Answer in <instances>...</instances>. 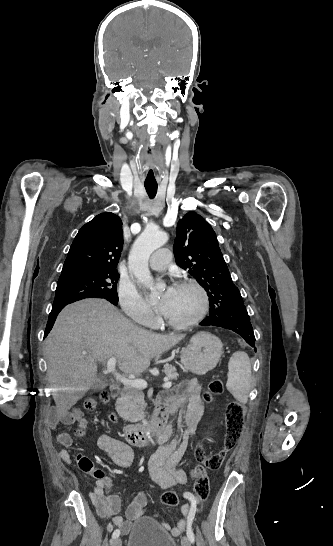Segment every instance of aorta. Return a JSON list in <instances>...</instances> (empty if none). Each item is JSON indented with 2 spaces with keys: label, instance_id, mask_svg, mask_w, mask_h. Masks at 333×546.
Segmentation results:
<instances>
[{
  "label": "aorta",
  "instance_id": "1",
  "mask_svg": "<svg viewBox=\"0 0 333 546\" xmlns=\"http://www.w3.org/2000/svg\"><path fill=\"white\" fill-rule=\"evenodd\" d=\"M168 240V236L155 227L146 228L135 240L129 257L128 267L134 274L138 283L154 291L153 277L149 271L148 261L150 255L163 246ZM148 438L149 432L147 433Z\"/></svg>",
  "mask_w": 333,
  "mask_h": 546
}]
</instances>
